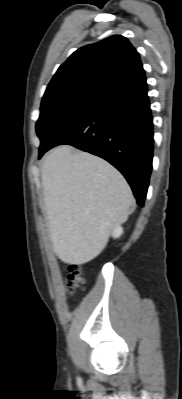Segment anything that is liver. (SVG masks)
<instances>
[{
	"label": "liver",
	"mask_w": 182,
	"mask_h": 399,
	"mask_svg": "<svg viewBox=\"0 0 182 399\" xmlns=\"http://www.w3.org/2000/svg\"><path fill=\"white\" fill-rule=\"evenodd\" d=\"M42 186L53 251L67 264L93 260L132 213V191L105 160L60 146L43 161Z\"/></svg>",
	"instance_id": "liver-1"
}]
</instances>
